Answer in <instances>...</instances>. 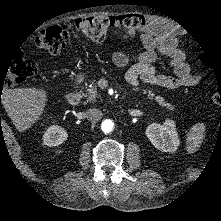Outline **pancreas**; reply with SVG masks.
Returning a JSON list of instances; mask_svg holds the SVG:
<instances>
[{"instance_id":"obj_1","label":"pancreas","mask_w":221,"mask_h":221,"mask_svg":"<svg viewBox=\"0 0 221 221\" xmlns=\"http://www.w3.org/2000/svg\"><path fill=\"white\" fill-rule=\"evenodd\" d=\"M97 85L93 84L91 87H88L86 89V94H83L87 97V102L91 104L96 103V98L98 97L97 92H96ZM142 95L147 98L148 101L156 103L159 105L164 112L168 114H172L175 112L176 107L173 103L169 102L168 99H166L163 95L153 92V90L145 86L141 90Z\"/></svg>"}]
</instances>
